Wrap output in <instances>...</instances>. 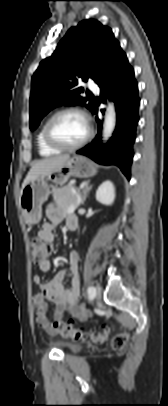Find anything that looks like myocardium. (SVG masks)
I'll list each match as a JSON object with an SVG mask.
<instances>
[{
	"mask_svg": "<svg viewBox=\"0 0 168 406\" xmlns=\"http://www.w3.org/2000/svg\"><path fill=\"white\" fill-rule=\"evenodd\" d=\"M66 113H77L79 115H81L87 125V133L86 135L78 142L74 143V144H62L60 142H58L57 140H55V138L53 137L52 133H51V127L53 122L56 120V118H58L60 115L62 114H66ZM93 135V127L90 123V118L88 116V114L82 110L81 108L78 107H65L62 108L58 111H56L45 123L44 126V139L45 142L52 148L55 149H59V150H74V149H78L80 147H82L83 145H85L90 138Z\"/></svg>",
	"mask_w": 168,
	"mask_h": 406,
	"instance_id": "obj_1",
	"label": "myocardium"
}]
</instances>
